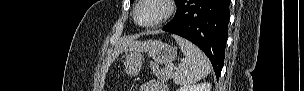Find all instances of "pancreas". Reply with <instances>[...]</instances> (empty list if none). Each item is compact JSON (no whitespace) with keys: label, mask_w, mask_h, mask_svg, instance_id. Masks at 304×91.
<instances>
[{"label":"pancreas","mask_w":304,"mask_h":91,"mask_svg":"<svg viewBox=\"0 0 304 91\" xmlns=\"http://www.w3.org/2000/svg\"><path fill=\"white\" fill-rule=\"evenodd\" d=\"M152 69L156 78L162 82H167L172 78L173 71L168 67L161 69L159 67L153 66Z\"/></svg>","instance_id":"cf45deb5"}]
</instances>
